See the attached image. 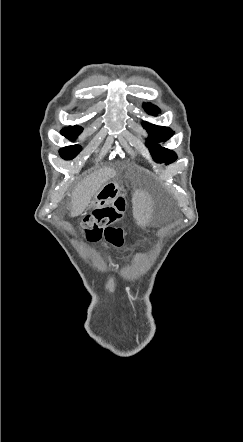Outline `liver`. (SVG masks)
Here are the masks:
<instances>
[{
    "instance_id": "1",
    "label": "liver",
    "mask_w": 243,
    "mask_h": 442,
    "mask_svg": "<svg viewBox=\"0 0 243 442\" xmlns=\"http://www.w3.org/2000/svg\"><path fill=\"white\" fill-rule=\"evenodd\" d=\"M115 175L116 171L107 167L83 179L72 192L71 217L81 215L100 188Z\"/></svg>"
}]
</instances>
